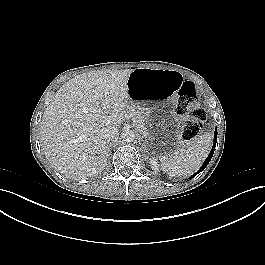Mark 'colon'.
<instances>
[{
    "label": "colon",
    "instance_id": "5ec220e1",
    "mask_svg": "<svg viewBox=\"0 0 265 265\" xmlns=\"http://www.w3.org/2000/svg\"><path fill=\"white\" fill-rule=\"evenodd\" d=\"M176 112L186 119L182 122V137L193 140L200 133L206 112L199 106L198 94L194 85L184 82L180 88Z\"/></svg>",
    "mask_w": 265,
    "mask_h": 265
}]
</instances>
